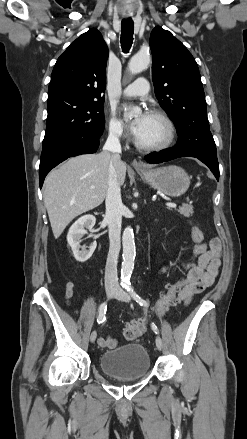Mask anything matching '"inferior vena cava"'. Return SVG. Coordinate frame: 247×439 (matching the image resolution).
<instances>
[{"instance_id": "inferior-vena-cava-1", "label": "inferior vena cava", "mask_w": 247, "mask_h": 439, "mask_svg": "<svg viewBox=\"0 0 247 439\" xmlns=\"http://www.w3.org/2000/svg\"><path fill=\"white\" fill-rule=\"evenodd\" d=\"M103 150L113 154L108 165V190L106 195L105 221L108 224L110 246L105 268V287L118 289L117 262L121 247L123 204L116 172V167L121 161V145L115 133H109Z\"/></svg>"}]
</instances>
